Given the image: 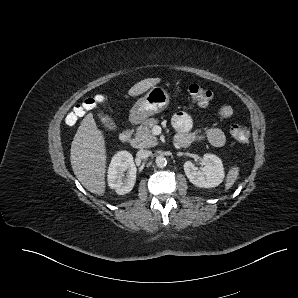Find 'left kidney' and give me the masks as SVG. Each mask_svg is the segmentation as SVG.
Instances as JSON below:
<instances>
[{"mask_svg":"<svg viewBox=\"0 0 298 298\" xmlns=\"http://www.w3.org/2000/svg\"><path fill=\"white\" fill-rule=\"evenodd\" d=\"M204 166L201 171L191 161L184 163V171L188 179L195 186L211 188L221 184L226 176L223 161L217 155L205 153Z\"/></svg>","mask_w":298,"mask_h":298,"instance_id":"5707ae66","label":"left kidney"}]
</instances>
